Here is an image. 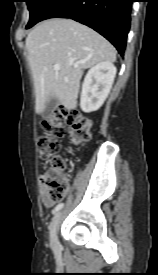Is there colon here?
<instances>
[{
  "label": "colon",
  "instance_id": "obj_1",
  "mask_svg": "<svg viewBox=\"0 0 158 275\" xmlns=\"http://www.w3.org/2000/svg\"><path fill=\"white\" fill-rule=\"evenodd\" d=\"M67 128L72 145H80L91 138L92 120L79 112L57 109L43 122L37 141L38 154L47 161L45 170L39 176V185L45 197L53 202L60 201L69 186L64 173L65 163L59 155L60 139Z\"/></svg>",
  "mask_w": 158,
  "mask_h": 275
}]
</instances>
